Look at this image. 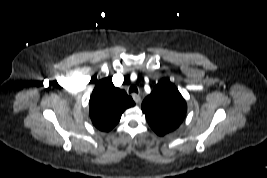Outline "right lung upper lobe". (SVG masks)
Masks as SVG:
<instances>
[{
    "instance_id": "obj_1",
    "label": "right lung upper lobe",
    "mask_w": 267,
    "mask_h": 178,
    "mask_svg": "<svg viewBox=\"0 0 267 178\" xmlns=\"http://www.w3.org/2000/svg\"><path fill=\"white\" fill-rule=\"evenodd\" d=\"M135 103L133 99L113 85L109 78L96 82L89 101L92 123L101 131H110L120 120L122 113Z\"/></svg>"
}]
</instances>
